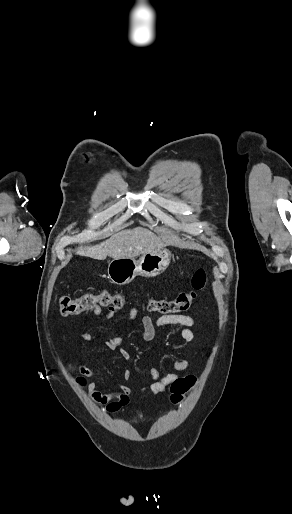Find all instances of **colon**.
Segmentation results:
<instances>
[{
  "mask_svg": "<svg viewBox=\"0 0 292 514\" xmlns=\"http://www.w3.org/2000/svg\"><path fill=\"white\" fill-rule=\"evenodd\" d=\"M207 279V271L198 269L191 279L190 289L178 295L177 298L152 299L147 304V309L161 315L182 314L190 310L197 295L204 289ZM126 300L120 291L109 292L103 290L98 294L85 293L72 297L63 295L60 298L61 313L64 316H77L96 309L120 310ZM199 379L196 373H183L181 379L171 384L169 392L174 395L173 400L177 403L182 401L181 394L189 390ZM81 381L80 378H78Z\"/></svg>",
  "mask_w": 292,
  "mask_h": 514,
  "instance_id": "obj_1",
  "label": "colon"
}]
</instances>
